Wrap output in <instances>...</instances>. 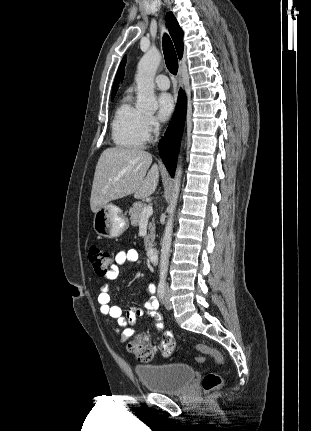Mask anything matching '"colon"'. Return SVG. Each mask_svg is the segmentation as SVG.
<instances>
[{
  "instance_id": "1",
  "label": "colon",
  "mask_w": 311,
  "mask_h": 431,
  "mask_svg": "<svg viewBox=\"0 0 311 431\" xmlns=\"http://www.w3.org/2000/svg\"><path fill=\"white\" fill-rule=\"evenodd\" d=\"M88 257L96 274L99 276H106L108 267L112 261L111 254L103 248L93 246L89 250ZM125 349L129 354L134 355L141 361H150L154 356V349L144 336H137L127 341ZM195 349L202 354L210 355L218 364L224 363L223 355L212 347L204 344H197L195 345ZM172 350L173 343L170 339L161 343L160 351L163 355H169ZM195 360L198 363H203L205 358L203 356H198ZM221 385L222 378L215 372L207 373L202 381V387L205 392L215 390Z\"/></svg>"
}]
</instances>
